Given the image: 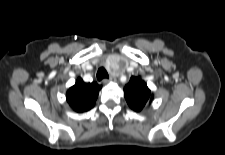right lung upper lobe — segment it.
I'll use <instances>...</instances> for the list:
<instances>
[{
    "label": "right lung upper lobe",
    "mask_w": 225,
    "mask_h": 155,
    "mask_svg": "<svg viewBox=\"0 0 225 155\" xmlns=\"http://www.w3.org/2000/svg\"><path fill=\"white\" fill-rule=\"evenodd\" d=\"M101 88L102 86L96 82L85 83L78 78L75 85L67 92V102L74 111L86 112L93 108Z\"/></svg>",
    "instance_id": "cb5924a9"
}]
</instances>
